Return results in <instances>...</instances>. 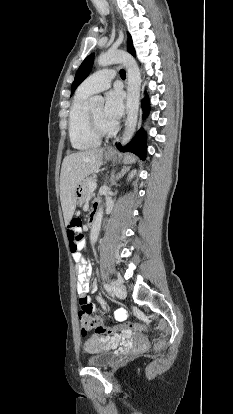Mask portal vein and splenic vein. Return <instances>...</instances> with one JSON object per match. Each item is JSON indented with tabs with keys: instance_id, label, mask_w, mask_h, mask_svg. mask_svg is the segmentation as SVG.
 <instances>
[{
	"instance_id": "1",
	"label": "portal vein and splenic vein",
	"mask_w": 233,
	"mask_h": 414,
	"mask_svg": "<svg viewBox=\"0 0 233 414\" xmlns=\"http://www.w3.org/2000/svg\"><path fill=\"white\" fill-rule=\"evenodd\" d=\"M89 188L91 189V191H94V190L97 188V184H96V182H91V183L89 184Z\"/></svg>"
}]
</instances>
